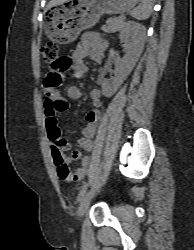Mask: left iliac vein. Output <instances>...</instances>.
Masks as SVG:
<instances>
[{"label":"left iliac vein","mask_w":194,"mask_h":250,"mask_svg":"<svg viewBox=\"0 0 194 250\" xmlns=\"http://www.w3.org/2000/svg\"><path fill=\"white\" fill-rule=\"evenodd\" d=\"M97 186V182L93 185V187L86 192V194L83 196L82 201L80 203L79 209H78V217L81 219L85 213L87 212V209L89 207V204L92 200V197L94 195L95 189Z\"/></svg>","instance_id":"left-iliac-vein-1"}]
</instances>
